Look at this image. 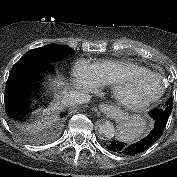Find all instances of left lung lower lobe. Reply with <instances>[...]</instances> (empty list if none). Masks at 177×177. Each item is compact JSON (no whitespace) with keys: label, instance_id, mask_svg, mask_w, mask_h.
I'll return each mask as SVG.
<instances>
[{"label":"left lung lower lobe","instance_id":"0a47b994","mask_svg":"<svg viewBox=\"0 0 177 177\" xmlns=\"http://www.w3.org/2000/svg\"><path fill=\"white\" fill-rule=\"evenodd\" d=\"M170 108L171 107H162L149 112L154 120V126L150 133L142 140L131 145L120 141H112L107 149L122 155H135L147 150L162 136L172 111Z\"/></svg>","mask_w":177,"mask_h":177}]
</instances>
